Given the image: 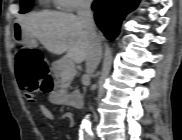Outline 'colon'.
<instances>
[{
  "mask_svg": "<svg viewBox=\"0 0 182 140\" xmlns=\"http://www.w3.org/2000/svg\"><path fill=\"white\" fill-rule=\"evenodd\" d=\"M16 73L19 84L28 101L33 102L36 93L46 91L49 72L41 51L20 45L15 50Z\"/></svg>",
  "mask_w": 182,
  "mask_h": 140,
  "instance_id": "5ec220e1",
  "label": "colon"
}]
</instances>
